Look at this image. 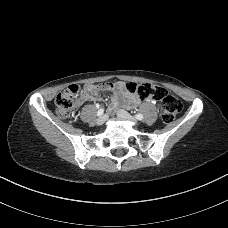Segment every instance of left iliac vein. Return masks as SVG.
<instances>
[{
  "label": "left iliac vein",
  "mask_w": 228,
  "mask_h": 228,
  "mask_svg": "<svg viewBox=\"0 0 228 228\" xmlns=\"http://www.w3.org/2000/svg\"><path fill=\"white\" fill-rule=\"evenodd\" d=\"M117 115H118V117H120L122 119L130 120L131 122H133L134 125H138V122L124 110H118Z\"/></svg>",
  "instance_id": "left-iliac-vein-1"
}]
</instances>
